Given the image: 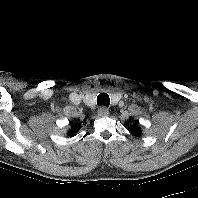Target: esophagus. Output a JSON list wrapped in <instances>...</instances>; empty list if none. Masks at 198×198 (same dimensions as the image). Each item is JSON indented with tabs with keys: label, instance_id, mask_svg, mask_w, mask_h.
<instances>
[{
	"label": "esophagus",
	"instance_id": "34e87169",
	"mask_svg": "<svg viewBox=\"0 0 198 198\" xmlns=\"http://www.w3.org/2000/svg\"><path fill=\"white\" fill-rule=\"evenodd\" d=\"M97 115L98 117H106L109 115V110L106 107L102 106L98 109Z\"/></svg>",
	"mask_w": 198,
	"mask_h": 198
}]
</instances>
